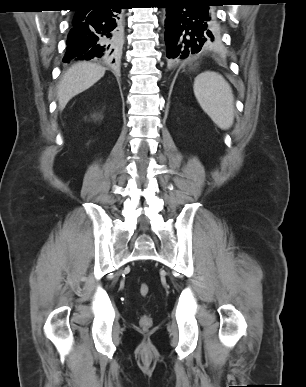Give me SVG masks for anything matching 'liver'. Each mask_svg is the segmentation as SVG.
<instances>
[{"instance_id":"liver-1","label":"liver","mask_w":306,"mask_h":387,"mask_svg":"<svg viewBox=\"0 0 306 387\" xmlns=\"http://www.w3.org/2000/svg\"><path fill=\"white\" fill-rule=\"evenodd\" d=\"M105 70L101 65L88 62H79L71 66L58 86L59 108L64 109L74 96L92 87L104 76Z\"/></svg>"}]
</instances>
